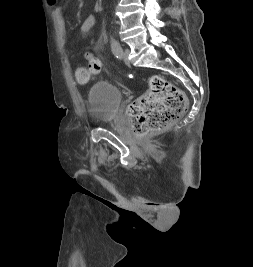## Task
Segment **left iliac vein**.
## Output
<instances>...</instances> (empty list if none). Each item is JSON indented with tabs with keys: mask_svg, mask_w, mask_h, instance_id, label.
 Instances as JSON below:
<instances>
[{
	"mask_svg": "<svg viewBox=\"0 0 253 267\" xmlns=\"http://www.w3.org/2000/svg\"><path fill=\"white\" fill-rule=\"evenodd\" d=\"M130 51L128 49L122 50L120 57L125 61V63L129 64L130 60L128 59Z\"/></svg>",
	"mask_w": 253,
	"mask_h": 267,
	"instance_id": "obj_1",
	"label": "left iliac vein"
}]
</instances>
